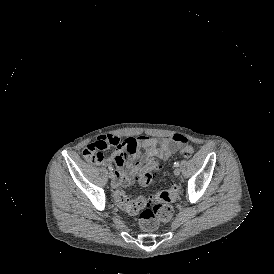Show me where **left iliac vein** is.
Here are the masks:
<instances>
[{
    "mask_svg": "<svg viewBox=\"0 0 274 274\" xmlns=\"http://www.w3.org/2000/svg\"><path fill=\"white\" fill-rule=\"evenodd\" d=\"M174 174H175L176 176H178V175L180 174V169H179V168H175V169H174Z\"/></svg>",
    "mask_w": 274,
    "mask_h": 274,
    "instance_id": "4c4485c4",
    "label": "left iliac vein"
}]
</instances>
